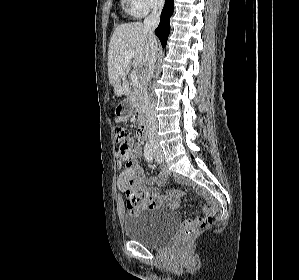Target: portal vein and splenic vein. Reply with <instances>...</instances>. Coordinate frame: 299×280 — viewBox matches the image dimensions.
<instances>
[{"mask_svg":"<svg viewBox=\"0 0 299 280\" xmlns=\"http://www.w3.org/2000/svg\"><path fill=\"white\" fill-rule=\"evenodd\" d=\"M134 56V52L133 51H128L125 53V61H130ZM131 79H132V83L134 86H138L139 81H138V77L136 75V73H132L131 74Z\"/></svg>","mask_w":299,"mask_h":280,"instance_id":"1","label":"portal vein and splenic vein"}]
</instances>
